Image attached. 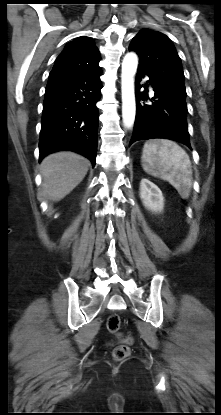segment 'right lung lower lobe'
Wrapping results in <instances>:
<instances>
[{
	"mask_svg": "<svg viewBox=\"0 0 221 415\" xmlns=\"http://www.w3.org/2000/svg\"><path fill=\"white\" fill-rule=\"evenodd\" d=\"M101 70L49 80L43 103L40 161L48 154L71 150L96 161Z\"/></svg>",
	"mask_w": 221,
	"mask_h": 415,
	"instance_id": "1",
	"label": "right lung lower lobe"
}]
</instances>
